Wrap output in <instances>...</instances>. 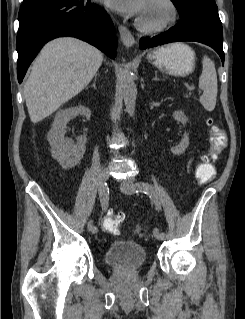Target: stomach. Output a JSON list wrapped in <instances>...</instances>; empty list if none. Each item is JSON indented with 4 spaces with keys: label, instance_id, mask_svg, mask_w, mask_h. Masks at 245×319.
<instances>
[{
    "label": "stomach",
    "instance_id": "1",
    "mask_svg": "<svg viewBox=\"0 0 245 319\" xmlns=\"http://www.w3.org/2000/svg\"><path fill=\"white\" fill-rule=\"evenodd\" d=\"M153 65L174 76H185L195 68V52L184 43H173L147 55Z\"/></svg>",
    "mask_w": 245,
    "mask_h": 319
}]
</instances>
